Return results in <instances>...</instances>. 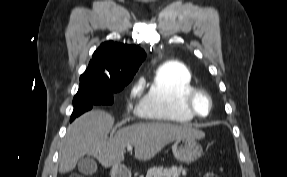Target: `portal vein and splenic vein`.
Listing matches in <instances>:
<instances>
[{
	"label": "portal vein and splenic vein",
	"mask_w": 287,
	"mask_h": 177,
	"mask_svg": "<svg viewBox=\"0 0 287 177\" xmlns=\"http://www.w3.org/2000/svg\"><path fill=\"white\" fill-rule=\"evenodd\" d=\"M133 149L132 146H127V150L131 151Z\"/></svg>",
	"instance_id": "18ae733b"
}]
</instances>
